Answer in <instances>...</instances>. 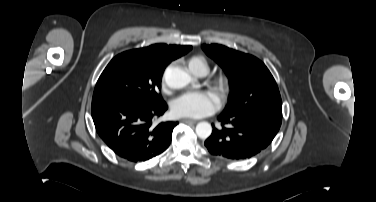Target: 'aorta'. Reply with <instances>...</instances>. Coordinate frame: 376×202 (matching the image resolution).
<instances>
[{"instance_id": "aorta-1", "label": "aorta", "mask_w": 376, "mask_h": 202, "mask_svg": "<svg viewBox=\"0 0 376 202\" xmlns=\"http://www.w3.org/2000/svg\"><path fill=\"white\" fill-rule=\"evenodd\" d=\"M164 79L168 87L181 89L187 86L193 78L190 74L179 67L168 68L165 72ZM212 126L208 122H200L196 126V134L201 139H206L211 135Z\"/></svg>"}]
</instances>
